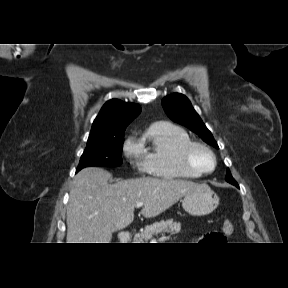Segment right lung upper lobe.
I'll return each mask as SVG.
<instances>
[{
  "instance_id": "right-lung-upper-lobe-1",
  "label": "right lung upper lobe",
  "mask_w": 288,
  "mask_h": 288,
  "mask_svg": "<svg viewBox=\"0 0 288 288\" xmlns=\"http://www.w3.org/2000/svg\"><path fill=\"white\" fill-rule=\"evenodd\" d=\"M137 104L118 99L106 102L93 122L88 141L109 135L124 133L126 126L140 113Z\"/></svg>"
}]
</instances>
